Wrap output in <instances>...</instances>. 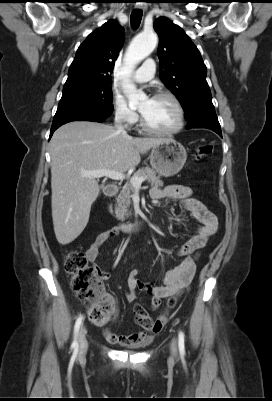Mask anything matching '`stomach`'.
<instances>
[{
    "instance_id": "stomach-1",
    "label": "stomach",
    "mask_w": 272,
    "mask_h": 401,
    "mask_svg": "<svg viewBox=\"0 0 272 401\" xmlns=\"http://www.w3.org/2000/svg\"><path fill=\"white\" fill-rule=\"evenodd\" d=\"M187 153L184 146L172 138H165L152 148L150 164L155 172L164 177L177 174L184 166Z\"/></svg>"
}]
</instances>
